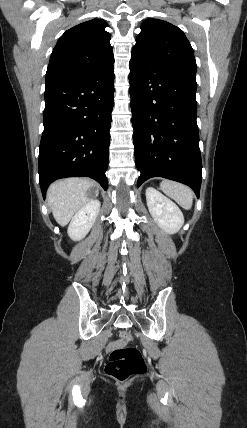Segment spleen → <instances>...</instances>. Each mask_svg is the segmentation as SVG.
I'll return each mask as SVG.
<instances>
[{
    "mask_svg": "<svg viewBox=\"0 0 247 428\" xmlns=\"http://www.w3.org/2000/svg\"><path fill=\"white\" fill-rule=\"evenodd\" d=\"M160 189L184 209H191L193 192L188 186L175 181L164 180L160 184Z\"/></svg>",
    "mask_w": 247,
    "mask_h": 428,
    "instance_id": "spleen-1",
    "label": "spleen"
}]
</instances>
